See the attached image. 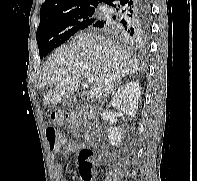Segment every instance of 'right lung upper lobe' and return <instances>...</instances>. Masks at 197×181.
I'll list each match as a JSON object with an SVG mask.
<instances>
[{
    "mask_svg": "<svg viewBox=\"0 0 197 181\" xmlns=\"http://www.w3.org/2000/svg\"><path fill=\"white\" fill-rule=\"evenodd\" d=\"M106 1L108 0H46L41 6L40 20L80 7L98 5Z\"/></svg>",
    "mask_w": 197,
    "mask_h": 181,
    "instance_id": "obj_1",
    "label": "right lung upper lobe"
}]
</instances>
